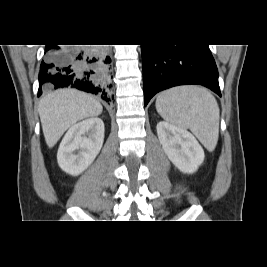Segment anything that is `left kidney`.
Masks as SVG:
<instances>
[{
	"mask_svg": "<svg viewBox=\"0 0 267 267\" xmlns=\"http://www.w3.org/2000/svg\"><path fill=\"white\" fill-rule=\"evenodd\" d=\"M157 135L170 161L183 173H194L204 161V151L186 129L167 122L157 124Z\"/></svg>",
	"mask_w": 267,
	"mask_h": 267,
	"instance_id": "left-kidney-1",
	"label": "left kidney"
}]
</instances>
